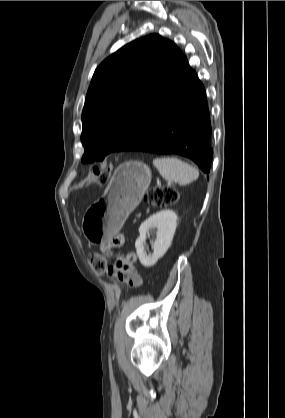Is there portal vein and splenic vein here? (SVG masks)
I'll use <instances>...</instances> for the list:
<instances>
[{
	"instance_id": "portal-vein-and-splenic-vein-1",
	"label": "portal vein and splenic vein",
	"mask_w": 285,
	"mask_h": 418,
	"mask_svg": "<svg viewBox=\"0 0 285 418\" xmlns=\"http://www.w3.org/2000/svg\"><path fill=\"white\" fill-rule=\"evenodd\" d=\"M168 185H171V183H170V182H168Z\"/></svg>"
}]
</instances>
